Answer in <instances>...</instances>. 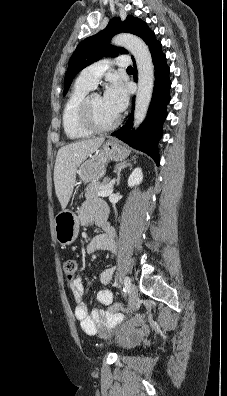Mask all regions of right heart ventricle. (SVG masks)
<instances>
[{"label":"right heart ventricle","mask_w":227,"mask_h":396,"mask_svg":"<svg viewBox=\"0 0 227 396\" xmlns=\"http://www.w3.org/2000/svg\"><path fill=\"white\" fill-rule=\"evenodd\" d=\"M91 89V86L77 79L64 104L62 124L64 132L69 139H83L93 133L84 126L80 118L81 102Z\"/></svg>","instance_id":"obj_1"}]
</instances>
